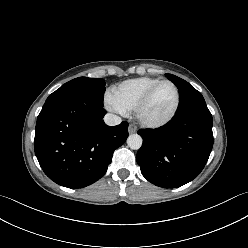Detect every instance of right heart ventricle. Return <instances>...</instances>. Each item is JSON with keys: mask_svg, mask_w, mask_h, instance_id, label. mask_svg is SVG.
<instances>
[{"mask_svg": "<svg viewBox=\"0 0 248 248\" xmlns=\"http://www.w3.org/2000/svg\"><path fill=\"white\" fill-rule=\"evenodd\" d=\"M160 79L154 77H139L121 82L111 90V97L124 111L135 109L143 94Z\"/></svg>", "mask_w": 248, "mask_h": 248, "instance_id": "1", "label": "right heart ventricle"}]
</instances>
